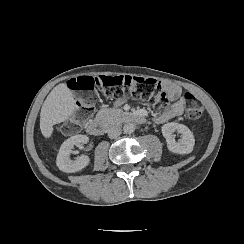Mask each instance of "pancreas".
<instances>
[{"label":"pancreas","instance_id":"pancreas-1","mask_svg":"<svg viewBox=\"0 0 244 244\" xmlns=\"http://www.w3.org/2000/svg\"><path fill=\"white\" fill-rule=\"evenodd\" d=\"M126 114L127 113L124 112L122 109L109 107L100 109L97 112L95 118L103 119L105 121H112L113 123H120Z\"/></svg>","mask_w":244,"mask_h":244}]
</instances>
